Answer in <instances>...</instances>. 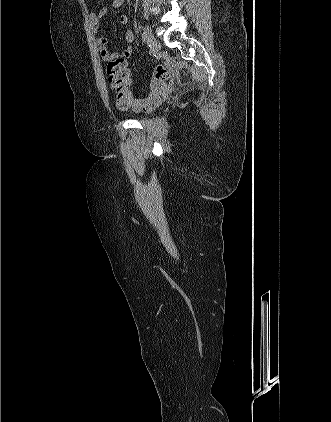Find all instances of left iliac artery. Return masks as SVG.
Wrapping results in <instances>:
<instances>
[{
    "label": "left iliac artery",
    "instance_id": "44dca946",
    "mask_svg": "<svg viewBox=\"0 0 331 422\" xmlns=\"http://www.w3.org/2000/svg\"><path fill=\"white\" fill-rule=\"evenodd\" d=\"M141 37H142V41L143 42H147V40H148V32L146 30H144L142 32V34H141Z\"/></svg>",
    "mask_w": 331,
    "mask_h": 422
}]
</instances>
